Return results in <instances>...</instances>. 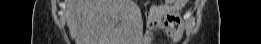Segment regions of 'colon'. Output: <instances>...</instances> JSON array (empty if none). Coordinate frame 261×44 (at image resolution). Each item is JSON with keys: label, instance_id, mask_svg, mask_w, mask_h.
<instances>
[{"label": "colon", "instance_id": "obj_1", "mask_svg": "<svg viewBox=\"0 0 261 44\" xmlns=\"http://www.w3.org/2000/svg\"><path fill=\"white\" fill-rule=\"evenodd\" d=\"M168 4H170L171 6H184L186 1L181 0V1H177V0H171V1H167Z\"/></svg>", "mask_w": 261, "mask_h": 44}]
</instances>
